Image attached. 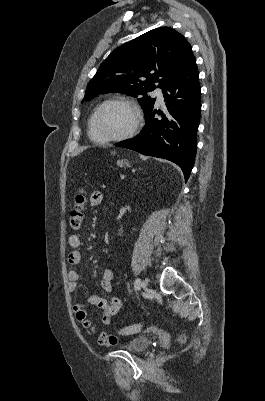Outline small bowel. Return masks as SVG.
I'll list each match as a JSON object with an SVG mask.
<instances>
[{"label": "small bowel", "mask_w": 265, "mask_h": 401, "mask_svg": "<svg viewBox=\"0 0 265 401\" xmlns=\"http://www.w3.org/2000/svg\"><path fill=\"white\" fill-rule=\"evenodd\" d=\"M103 196L100 192L94 191L90 195V204L93 207H97L101 204ZM68 244L71 247V251L68 254V262L71 265H78L82 260L81 252V238L80 236L73 234L68 238ZM113 271L110 268H105L100 276L99 286L100 289L105 293H111L112 291V281H113ZM79 279V274L76 270H70L68 272L69 280V290L74 291L77 287V281ZM96 306L102 311V322L105 325H110L112 323V318L117 315L122 307V302L117 297H112L107 300L100 296H90L86 303L75 304L73 307L74 313L77 320L83 325L85 329L95 331L91 320L88 318V313L86 308L89 306ZM118 338L114 335H108L106 333H100L98 336V343L102 346H113L117 344Z\"/></svg>", "instance_id": "small-bowel-1"}]
</instances>
